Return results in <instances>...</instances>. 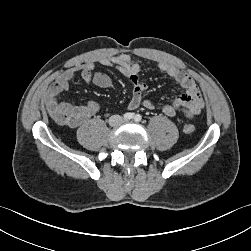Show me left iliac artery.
Wrapping results in <instances>:
<instances>
[{
	"label": "left iliac artery",
	"instance_id": "44dca946",
	"mask_svg": "<svg viewBox=\"0 0 251 251\" xmlns=\"http://www.w3.org/2000/svg\"><path fill=\"white\" fill-rule=\"evenodd\" d=\"M134 120H135L136 122L141 121V115H139V114L135 115V116H134Z\"/></svg>",
	"mask_w": 251,
	"mask_h": 251
}]
</instances>
